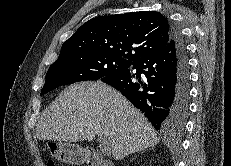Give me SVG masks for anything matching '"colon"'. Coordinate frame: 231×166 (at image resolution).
Masks as SVG:
<instances>
[{
	"mask_svg": "<svg viewBox=\"0 0 231 166\" xmlns=\"http://www.w3.org/2000/svg\"><path fill=\"white\" fill-rule=\"evenodd\" d=\"M48 166H55V163L53 161H50Z\"/></svg>",
	"mask_w": 231,
	"mask_h": 166,
	"instance_id": "1",
	"label": "colon"
}]
</instances>
